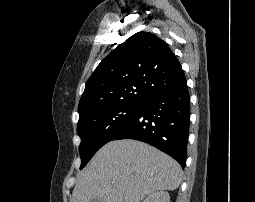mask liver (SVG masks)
<instances>
[{
  "mask_svg": "<svg viewBox=\"0 0 255 202\" xmlns=\"http://www.w3.org/2000/svg\"><path fill=\"white\" fill-rule=\"evenodd\" d=\"M182 169L170 156L132 139L111 141L91 159L78 179L71 202H140L158 190H176Z\"/></svg>",
  "mask_w": 255,
  "mask_h": 202,
  "instance_id": "obj_1",
  "label": "liver"
}]
</instances>
